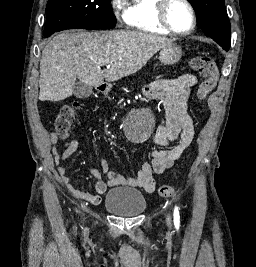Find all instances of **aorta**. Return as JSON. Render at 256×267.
<instances>
[{"label":"aorta","instance_id":"obj_1","mask_svg":"<svg viewBox=\"0 0 256 267\" xmlns=\"http://www.w3.org/2000/svg\"><path fill=\"white\" fill-rule=\"evenodd\" d=\"M151 108H136L135 117H124L127 127H153L150 122ZM156 128H125V138H130V143H147V138H152Z\"/></svg>","mask_w":256,"mask_h":267}]
</instances>
